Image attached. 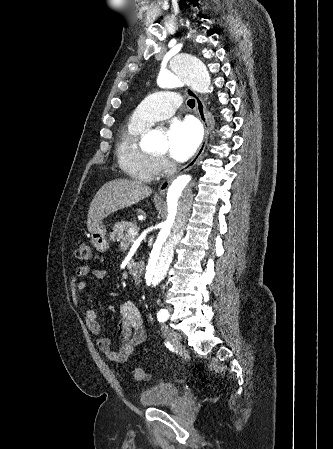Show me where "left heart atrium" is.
Here are the masks:
<instances>
[{
	"label": "left heart atrium",
	"mask_w": 333,
	"mask_h": 449,
	"mask_svg": "<svg viewBox=\"0 0 333 449\" xmlns=\"http://www.w3.org/2000/svg\"><path fill=\"white\" fill-rule=\"evenodd\" d=\"M169 155L176 161L190 158L201 141V130L192 119L174 120L167 131Z\"/></svg>",
	"instance_id": "left-heart-atrium-1"
}]
</instances>
